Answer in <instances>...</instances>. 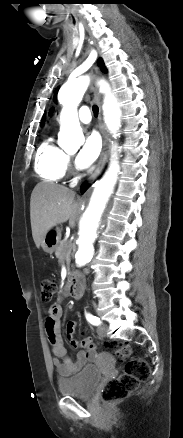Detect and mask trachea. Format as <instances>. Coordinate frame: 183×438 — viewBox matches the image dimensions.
Masks as SVG:
<instances>
[{"label":"trachea","instance_id":"obj_1","mask_svg":"<svg viewBox=\"0 0 183 438\" xmlns=\"http://www.w3.org/2000/svg\"><path fill=\"white\" fill-rule=\"evenodd\" d=\"M92 110H93V113H94L95 117H97V116H98V112H99V108H98V106L94 105V106L92 107Z\"/></svg>","mask_w":183,"mask_h":438}]
</instances>
